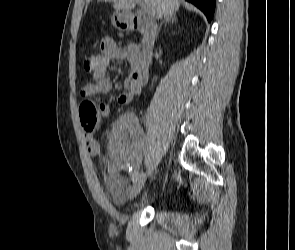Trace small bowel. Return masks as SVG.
Segmentation results:
<instances>
[{
  "label": "small bowel",
  "instance_id": "c3829d8e",
  "mask_svg": "<svg viewBox=\"0 0 295 250\" xmlns=\"http://www.w3.org/2000/svg\"><path fill=\"white\" fill-rule=\"evenodd\" d=\"M139 55V49L135 45L122 48L113 39L104 38L100 45V52L96 54L98 65L94 73V80L82 87L81 96L87 98L109 93L112 89V82L107 76L110 63L115 60L127 59L132 66V71L124 82L125 90L117 96V102L121 105L132 102L141 93L145 84L134 72ZM100 110L104 118L109 117L110 108L108 105L102 104ZM84 141L90 155L100 153V144L90 133L84 134ZM142 148L143 137L136 116L126 113L119 117L110 132L108 149L112 164L106 177L107 187L115 199L123 200L127 196L126 179L117 172V166L123 162L137 164L140 161Z\"/></svg>",
  "mask_w": 295,
  "mask_h": 250
}]
</instances>
